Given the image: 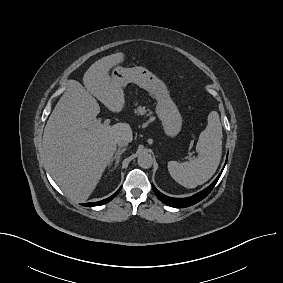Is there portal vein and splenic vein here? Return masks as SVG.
<instances>
[{
  "mask_svg": "<svg viewBox=\"0 0 283 283\" xmlns=\"http://www.w3.org/2000/svg\"><path fill=\"white\" fill-rule=\"evenodd\" d=\"M109 124H110V119H108V118L104 120V123H103V124L101 123V120H100V119H97V120H96V126H100V125L108 126Z\"/></svg>",
  "mask_w": 283,
  "mask_h": 283,
  "instance_id": "1",
  "label": "portal vein and splenic vein"
}]
</instances>
